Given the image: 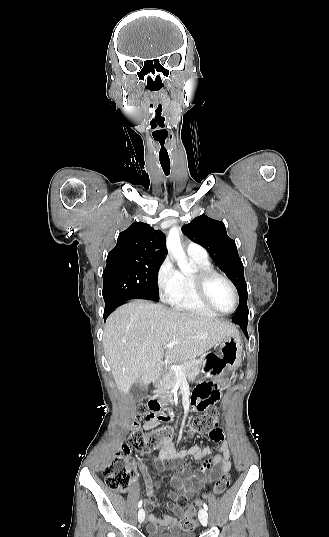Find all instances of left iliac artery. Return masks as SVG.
Listing matches in <instances>:
<instances>
[{
    "mask_svg": "<svg viewBox=\"0 0 329 537\" xmlns=\"http://www.w3.org/2000/svg\"><path fill=\"white\" fill-rule=\"evenodd\" d=\"M203 507H204V509H205L206 511L208 510V506H207L206 503L203 504Z\"/></svg>",
    "mask_w": 329,
    "mask_h": 537,
    "instance_id": "left-iliac-artery-1",
    "label": "left iliac artery"
}]
</instances>
